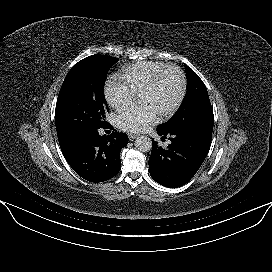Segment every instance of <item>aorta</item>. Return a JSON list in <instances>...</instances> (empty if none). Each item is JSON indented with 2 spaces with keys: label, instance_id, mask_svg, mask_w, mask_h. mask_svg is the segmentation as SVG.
I'll list each match as a JSON object with an SVG mask.
<instances>
[{
  "label": "aorta",
  "instance_id": "aorta-1",
  "mask_svg": "<svg viewBox=\"0 0 272 272\" xmlns=\"http://www.w3.org/2000/svg\"><path fill=\"white\" fill-rule=\"evenodd\" d=\"M134 145L141 152H149L152 149V140L148 136L141 135L136 138Z\"/></svg>",
  "mask_w": 272,
  "mask_h": 272
}]
</instances>
